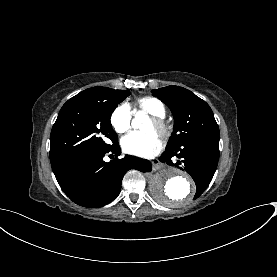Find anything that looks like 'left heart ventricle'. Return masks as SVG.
Listing matches in <instances>:
<instances>
[{"label": "left heart ventricle", "mask_w": 277, "mask_h": 277, "mask_svg": "<svg viewBox=\"0 0 277 277\" xmlns=\"http://www.w3.org/2000/svg\"><path fill=\"white\" fill-rule=\"evenodd\" d=\"M144 130L156 132L154 123L152 122L151 119H149V121H148L147 124L145 125Z\"/></svg>", "instance_id": "obj_1"}]
</instances>
